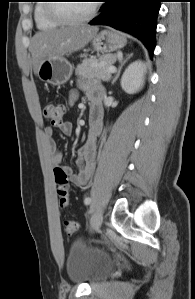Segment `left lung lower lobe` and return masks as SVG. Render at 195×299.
Masks as SVG:
<instances>
[{
    "label": "left lung lower lobe",
    "mask_w": 195,
    "mask_h": 299,
    "mask_svg": "<svg viewBox=\"0 0 195 299\" xmlns=\"http://www.w3.org/2000/svg\"><path fill=\"white\" fill-rule=\"evenodd\" d=\"M101 14L90 25H108L134 35L153 54L161 0H104Z\"/></svg>",
    "instance_id": "left-lung-lower-lobe-1"
}]
</instances>
